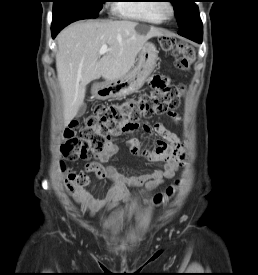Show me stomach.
I'll use <instances>...</instances> for the list:
<instances>
[{
    "label": "stomach",
    "instance_id": "stomach-1",
    "mask_svg": "<svg viewBox=\"0 0 258 275\" xmlns=\"http://www.w3.org/2000/svg\"><path fill=\"white\" fill-rule=\"evenodd\" d=\"M157 58L158 51L155 45L146 42L139 52L136 66L121 78L94 84L93 96L99 100H106L135 93L155 69Z\"/></svg>",
    "mask_w": 258,
    "mask_h": 275
}]
</instances>
